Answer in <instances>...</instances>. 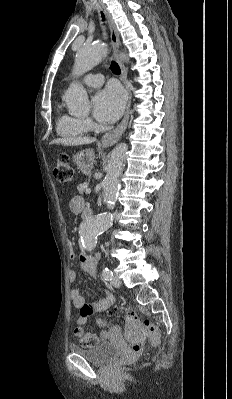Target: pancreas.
<instances>
[{"instance_id": "1", "label": "pancreas", "mask_w": 232, "mask_h": 399, "mask_svg": "<svg viewBox=\"0 0 232 399\" xmlns=\"http://www.w3.org/2000/svg\"><path fill=\"white\" fill-rule=\"evenodd\" d=\"M88 184L89 182H83V184H79V186H77L79 194H84L85 190L88 188Z\"/></svg>"}]
</instances>
